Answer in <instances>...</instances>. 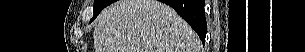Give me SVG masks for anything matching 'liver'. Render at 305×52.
Returning <instances> with one entry per match:
<instances>
[{"mask_svg":"<svg viewBox=\"0 0 305 52\" xmlns=\"http://www.w3.org/2000/svg\"><path fill=\"white\" fill-rule=\"evenodd\" d=\"M95 52H200V40L168 5L157 0H119L99 14Z\"/></svg>","mask_w":305,"mask_h":52,"instance_id":"1","label":"liver"}]
</instances>
